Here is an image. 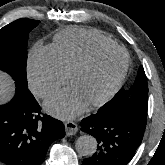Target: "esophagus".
<instances>
[{
    "instance_id": "esophagus-1",
    "label": "esophagus",
    "mask_w": 165,
    "mask_h": 165,
    "mask_svg": "<svg viewBox=\"0 0 165 165\" xmlns=\"http://www.w3.org/2000/svg\"><path fill=\"white\" fill-rule=\"evenodd\" d=\"M65 125V130H66V134L71 136V135H75L78 131V127L77 124L73 121H67L64 123Z\"/></svg>"
}]
</instances>
